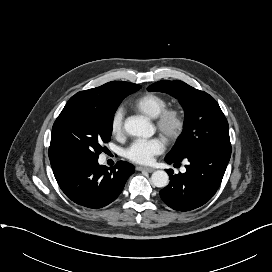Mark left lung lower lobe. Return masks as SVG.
<instances>
[{"mask_svg":"<svg viewBox=\"0 0 272 272\" xmlns=\"http://www.w3.org/2000/svg\"><path fill=\"white\" fill-rule=\"evenodd\" d=\"M230 147L202 149L188 157L186 172L173 175L166 170L170 183L160 191L162 200L178 211H189L208 202L218 190L230 160ZM168 164L181 161L165 158Z\"/></svg>","mask_w":272,"mask_h":272,"instance_id":"1","label":"left lung lower lobe"}]
</instances>
